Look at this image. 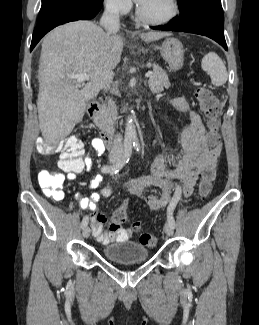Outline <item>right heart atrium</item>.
<instances>
[{
  "label": "right heart atrium",
  "instance_id": "obj_1",
  "mask_svg": "<svg viewBox=\"0 0 259 325\" xmlns=\"http://www.w3.org/2000/svg\"><path fill=\"white\" fill-rule=\"evenodd\" d=\"M105 7L113 13L126 14L132 7L131 0H103Z\"/></svg>",
  "mask_w": 259,
  "mask_h": 325
}]
</instances>
